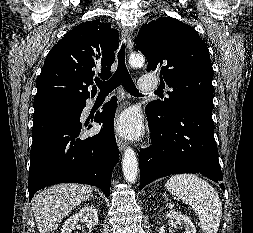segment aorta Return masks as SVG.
Listing matches in <instances>:
<instances>
[{
  "label": "aorta",
  "instance_id": "762f6f07",
  "mask_svg": "<svg viewBox=\"0 0 253 233\" xmlns=\"http://www.w3.org/2000/svg\"><path fill=\"white\" fill-rule=\"evenodd\" d=\"M144 62L145 59L141 54H132L129 58V63L133 67H141ZM122 169L125 179L129 183H134L138 176V160L132 148H127L124 152Z\"/></svg>",
  "mask_w": 253,
  "mask_h": 233
}]
</instances>
